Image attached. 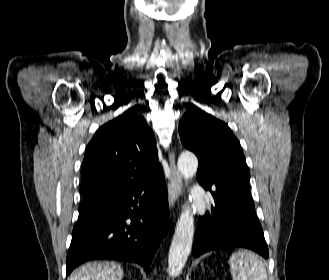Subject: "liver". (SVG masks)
Segmentation results:
<instances>
[{"label":"liver","mask_w":329,"mask_h":280,"mask_svg":"<svg viewBox=\"0 0 329 280\" xmlns=\"http://www.w3.org/2000/svg\"><path fill=\"white\" fill-rule=\"evenodd\" d=\"M123 269L114 262H91L82 266L68 280H121Z\"/></svg>","instance_id":"6515ba94"}]
</instances>
